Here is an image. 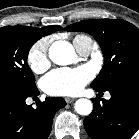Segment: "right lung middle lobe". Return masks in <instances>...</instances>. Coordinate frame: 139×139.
Here are the masks:
<instances>
[{
	"label": "right lung middle lobe",
	"mask_w": 139,
	"mask_h": 139,
	"mask_svg": "<svg viewBox=\"0 0 139 139\" xmlns=\"http://www.w3.org/2000/svg\"><path fill=\"white\" fill-rule=\"evenodd\" d=\"M39 36L21 28H0V86L16 88L24 92L37 87L35 77L28 66L27 56Z\"/></svg>",
	"instance_id": "1"
}]
</instances>
